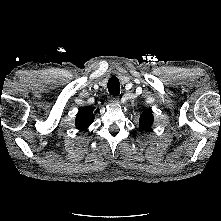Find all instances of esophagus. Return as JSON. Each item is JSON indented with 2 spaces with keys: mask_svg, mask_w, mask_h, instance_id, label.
<instances>
[{
  "mask_svg": "<svg viewBox=\"0 0 221 221\" xmlns=\"http://www.w3.org/2000/svg\"><path fill=\"white\" fill-rule=\"evenodd\" d=\"M112 101L117 102L118 101V97L117 96H113L112 97Z\"/></svg>",
  "mask_w": 221,
  "mask_h": 221,
  "instance_id": "1",
  "label": "esophagus"
}]
</instances>
